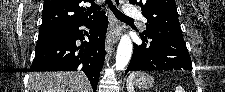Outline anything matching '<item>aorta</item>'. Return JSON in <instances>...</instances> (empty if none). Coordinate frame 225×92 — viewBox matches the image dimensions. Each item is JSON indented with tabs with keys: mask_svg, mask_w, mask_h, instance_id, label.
I'll use <instances>...</instances> for the list:
<instances>
[{
	"mask_svg": "<svg viewBox=\"0 0 225 92\" xmlns=\"http://www.w3.org/2000/svg\"><path fill=\"white\" fill-rule=\"evenodd\" d=\"M132 41L129 36H122L116 54V70L124 69L130 61L132 56Z\"/></svg>",
	"mask_w": 225,
	"mask_h": 92,
	"instance_id": "1",
	"label": "aorta"
}]
</instances>
